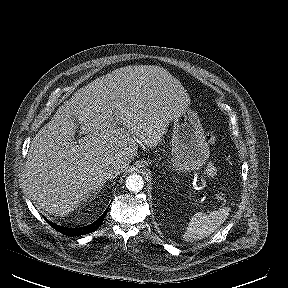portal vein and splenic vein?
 Instances as JSON below:
<instances>
[{"instance_id":"18ae733b","label":"portal vein and splenic vein","mask_w":288,"mask_h":288,"mask_svg":"<svg viewBox=\"0 0 288 288\" xmlns=\"http://www.w3.org/2000/svg\"><path fill=\"white\" fill-rule=\"evenodd\" d=\"M200 183L203 189H206L207 187V182L203 177H200Z\"/></svg>"}]
</instances>
